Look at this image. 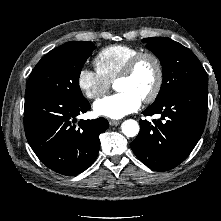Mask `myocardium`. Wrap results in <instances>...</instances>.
<instances>
[{
	"label": "myocardium",
	"instance_id": "1",
	"mask_svg": "<svg viewBox=\"0 0 221 221\" xmlns=\"http://www.w3.org/2000/svg\"><path fill=\"white\" fill-rule=\"evenodd\" d=\"M144 59H150L154 63L156 68L155 84L151 92L142 99L144 103H152L159 96L164 83V67L158 55L149 51H141L137 53L127 61L124 68L119 73L116 79L119 80V79L130 78L134 74L140 62Z\"/></svg>",
	"mask_w": 221,
	"mask_h": 221
}]
</instances>
